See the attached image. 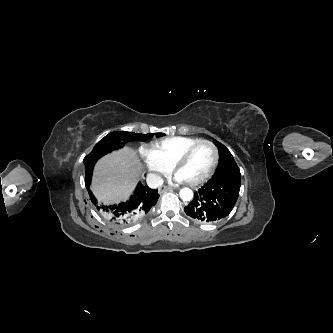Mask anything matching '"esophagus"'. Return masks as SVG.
<instances>
[{"label":"esophagus","mask_w":333,"mask_h":333,"mask_svg":"<svg viewBox=\"0 0 333 333\" xmlns=\"http://www.w3.org/2000/svg\"><path fill=\"white\" fill-rule=\"evenodd\" d=\"M174 188L172 187H169V186H163L160 190H159V193L162 194V193H165L167 191H171L173 190Z\"/></svg>","instance_id":"34e87169"}]
</instances>
